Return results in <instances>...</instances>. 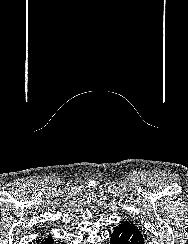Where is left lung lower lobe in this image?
<instances>
[{
  "label": "left lung lower lobe",
  "mask_w": 188,
  "mask_h": 244,
  "mask_svg": "<svg viewBox=\"0 0 188 244\" xmlns=\"http://www.w3.org/2000/svg\"><path fill=\"white\" fill-rule=\"evenodd\" d=\"M110 244H145L144 231L132 222L124 221L114 228Z\"/></svg>",
  "instance_id": "left-lung-lower-lobe-1"
}]
</instances>
